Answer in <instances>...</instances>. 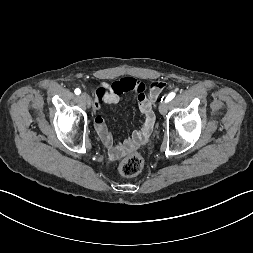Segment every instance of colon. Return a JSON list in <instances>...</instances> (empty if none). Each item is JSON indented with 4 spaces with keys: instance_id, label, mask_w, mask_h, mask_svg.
<instances>
[{
    "instance_id": "1",
    "label": "colon",
    "mask_w": 253,
    "mask_h": 253,
    "mask_svg": "<svg viewBox=\"0 0 253 253\" xmlns=\"http://www.w3.org/2000/svg\"><path fill=\"white\" fill-rule=\"evenodd\" d=\"M143 166V158L139 154H132L120 162L119 171L123 176L131 177L140 173Z\"/></svg>"
}]
</instances>
